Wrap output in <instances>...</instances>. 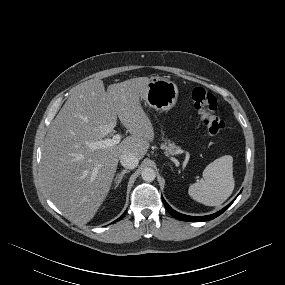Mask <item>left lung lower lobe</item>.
Wrapping results in <instances>:
<instances>
[{
    "mask_svg": "<svg viewBox=\"0 0 285 285\" xmlns=\"http://www.w3.org/2000/svg\"><path fill=\"white\" fill-rule=\"evenodd\" d=\"M236 199V198H235ZM234 199V200H235ZM163 203L167 209V211L173 215L176 219L182 220V221H192V222H201V221H207V220H212L214 218H216L217 216H219L220 214H222L233 202L234 200L228 204L226 207H224L222 210L211 214V215H207V216H201V217H194V216H188V215H184L181 213H178L177 211L173 210L164 200V198L162 197Z\"/></svg>",
    "mask_w": 285,
    "mask_h": 285,
    "instance_id": "left-lung-lower-lobe-1",
    "label": "left lung lower lobe"
}]
</instances>
